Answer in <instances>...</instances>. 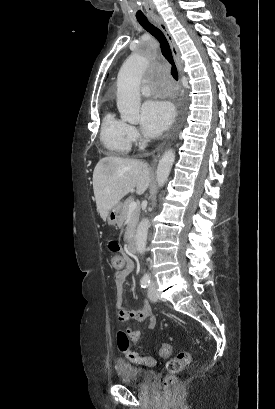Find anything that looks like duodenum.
Returning a JSON list of instances; mask_svg holds the SVG:
<instances>
[{
    "mask_svg": "<svg viewBox=\"0 0 275 409\" xmlns=\"http://www.w3.org/2000/svg\"><path fill=\"white\" fill-rule=\"evenodd\" d=\"M127 248H128V251H129L131 254H135V253H136V244H135V241H134V238H133V237H130V238H129V240H128V242H127Z\"/></svg>",
    "mask_w": 275,
    "mask_h": 409,
    "instance_id": "410a0bca",
    "label": "duodenum"
}]
</instances>
